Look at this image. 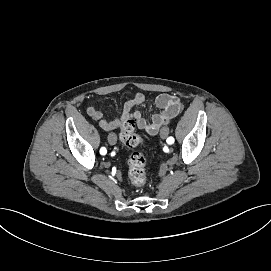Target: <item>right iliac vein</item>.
Returning a JSON list of instances; mask_svg holds the SVG:
<instances>
[{"label":"right iliac vein","mask_w":271,"mask_h":271,"mask_svg":"<svg viewBox=\"0 0 271 271\" xmlns=\"http://www.w3.org/2000/svg\"><path fill=\"white\" fill-rule=\"evenodd\" d=\"M108 142H109V144H111V145H114V144L117 142V136H116L115 133H110V134L108 135Z\"/></svg>","instance_id":"63e3f726"}]
</instances>
